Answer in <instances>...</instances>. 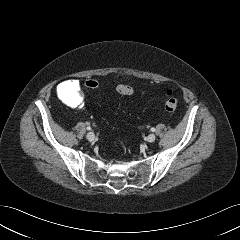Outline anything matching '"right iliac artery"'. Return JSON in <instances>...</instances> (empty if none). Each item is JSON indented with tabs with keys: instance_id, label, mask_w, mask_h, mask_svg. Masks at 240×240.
I'll return each mask as SVG.
<instances>
[{
	"instance_id": "1",
	"label": "right iliac artery",
	"mask_w": 240,
	"mask_h": 240,
	"mask_svg": "<svg viewBox=\"0 0 240 240\" xmlns=\"http://www.w3.org/2000/svg\"><path fill=\"white\" fill-rule=\"evenodd\" d=\"M87 130H91V127H90V126H87Z\"/></svg>"
}]
</instances>
